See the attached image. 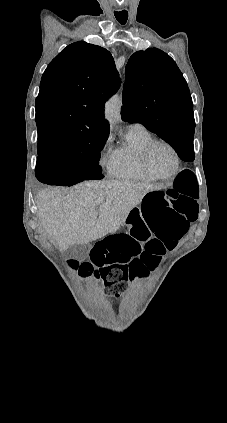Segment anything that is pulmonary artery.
I'll list each match as a JSON object with an SVG mask.
<instances>
[{
    "label": "pulmonary artery",
    "mask_w": 227,
    "mask_h": 423,
    "mask_svg": "<svg viewBox=\"0 0 227 423\" xmlns=\"http://www.w3.org/2000/svg\"><path fill=\"white\" fill-rule=\"evenodd\" d=\"M135 126H140L139 124H131L129 125V127H135Z\"/></svg>",
    "instance_id": "1"
}]
</instances>
